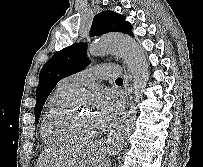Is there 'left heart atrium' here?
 Returning a JSON list of instances; mask_svg holds the SVG:
<instances>
[{
	"instance_id": "39dd6f15",
	"label": "left heart atrium",
	"mask_w": 203,
	"mask_h": 167,
	"mask_svg": "<svg viewBox=\"0 0 203 167\" xmlns=\"http://www.w3.org/2000/svg\"><path fill=\"white\" fill-rule=\"evenodd\" d=\"M120 107L119 100L109 93H102L98 98V110L96 116L100 128L108 125L118 112Z\"/></svg>"
}]
</instances>
